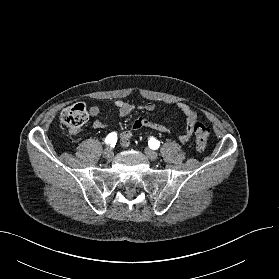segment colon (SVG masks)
<instances>
[{
	"label": "colon",
	"instance_id": "1",
	"mask_svg": "<svg viewBox=\"0 0 279 279\" xmlns=\"http://www.w3.org/2000/svg\"><path fill=\"white\" fill-rule=\"evenodd\" d=\"M88 120V111L83 103H76L65 108L60 114V122L71 132H77ZM196 148L203 151L207 146L209 129L203 123L194 126Z\"/></svg>",
	"mask_w": 279,
	"mask_h": 279
}]
</instances>
